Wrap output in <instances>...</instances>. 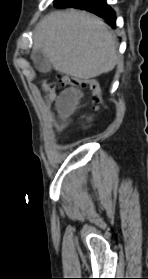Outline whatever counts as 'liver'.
I'll list each match as a JSON object with an SVG mask.
<instances>
[{
  "instance_id": "liver-1",
  "label": "liver",
  "mask_w": 148,
  "mask_h": 279,
  "mask_svg": "<svg viewBox=\"0 0 148 279\" xmlns=\"http://www.w3.org/2000/svg\"><path fill=\"white\" fill-rule=\"evenodd\" d=\"M41 50L59 73L88 80L112 71L118 56L108 26L84 11H55L34 32L33 52Z\"/></svg>"
}]
</instances>
